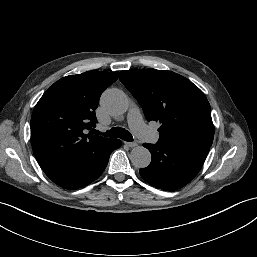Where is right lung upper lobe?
I'll use <instances>...</instances> for the list:
<instances>
[{"label":"right lung upper lobe","mask_w":257,"mask_h":257,"mask_svg":"<svg viewBox=\"0 0 257 257\" xmlns=\"http://www.w3.org/2000/svg\"><path fill=\"white\" fill-rule=\"evenodd\" d=\"M117 79L118 72L89 71L58 80L43 94L31 117V141L46 174L80 162L111 140L87 130L97 122L100 95Z\"/></svg>","instance_id":"obj_1"}]
</instances>
